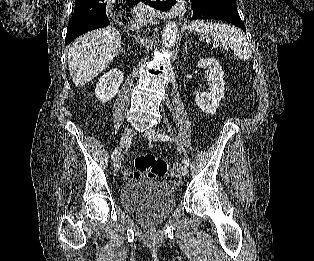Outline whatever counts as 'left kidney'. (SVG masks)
Segmentation results:
<instances>
[{"instance_id": "left-kidney-1", "label": "left kidney", "mask_w": 314, "mask_h": 261, "mask_svg": "<svg viewBox=\"0 0 314 261\" xmlns=\"http://www.w3.org/2000/svg\"><path fill=\"white\" fill-rule=\"evenodd\" d=\"M197 67H208L207 81L211 82L212 88L209 93H197L195 102L203 112L213 115L219 107L220 100L224 97V73L219 62L214 58L200 59Z\"/></svg>"}]
</instances>
